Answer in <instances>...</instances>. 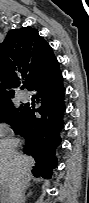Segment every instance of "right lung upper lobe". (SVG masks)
Returning a JSON list of instances; mask_svg holds the SVG:
<instances>
[{
	"mask_svg": "<svg viewBox=\"0 0 89 203\" xmlns=\"http://www.w3.org/2000/svg\"><path fill=\"white\" fill-rule=\"evenodd\" d=\"M52 48L31 27L10 31L0 44V106L11 101L14 91H4L1 86L16 88L19 81L27 89L42 75L58 66Z\"/></svg>",
	"mask_w": 89,
	"mask_h": 203,
	"instance_id": "1",
	"label": "right lung upper lobe"
}]
</instances>
